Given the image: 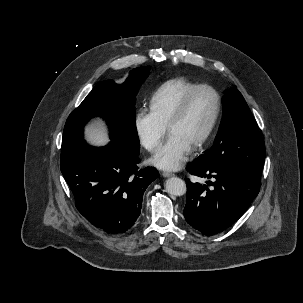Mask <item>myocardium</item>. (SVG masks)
<instances>
[{
	"mask_svg": "<svg viewBox=\"0 0 303 303\" xmlns=\"http://www.w3.org/2000/svg\"><path fill=\"white\" fill-rule=\"evenodd\" d=\"M204 89L209 90L214 94L215 100H216V105H215V110H214L212 119H211L207 129L205 130L203 135L193 145V148L196 150L202 148L204 146V144L208 141V139L212 135V133L218 123V120H219V117L221 114L222 98H221L219 92L214 87H212L211 85H208V84H199V85L195 86L194 88H192L190 91H188L185 94V96L183 97V99L181 100V102L179 103L178 107L176 108V110L174 111L172 116L170 117L168 124H167V129L170 130V128L185 115L194 95L197 92H199L200 90H204Z\"/></svg>",
	"mask_w": 303,
	"mask_h": 303,
	"instance_id": "1",
	"label": "myocardium"
}]
</instances>
